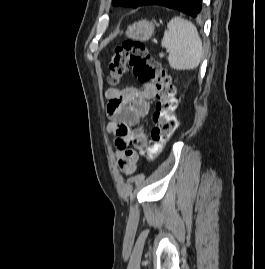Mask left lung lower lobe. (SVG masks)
I'll use <instances>...</instances> for the list:
<instances>
[{
	"instance_id": "left-lung-lower-lobe-1",
	"label": "left lung lower lobe",
	"mask_w": 265,
	"mask_h": 269,
	"mask_svg": "<svg viewBox=\"0 0 265 269\" xmlns=\"http://www.w3.org/2000/svg\"><path fill=\"white\" fill-rule=\"evenodd\" d=\"M160 5L181 11L193 18L202 14V0H144L140 6Z\"/></svg>"
}]
</instances>
